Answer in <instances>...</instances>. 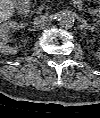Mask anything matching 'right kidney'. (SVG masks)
<instances>
[{
	"mask_svg": "<svg viewBox=\"0 0 100 118\" xmlns=\"http://www.w3.org/2000/svg\"><path fill=\"white\" fill-rule=\"evenodd\" d=\"M19 28L16 21H7L0 25V52L2 54L10 55L18 52V46H9L7 41L10 32H14Z\"/></svg>",
	"mask_w": 100,
	"mask_h": 118,
	"instance_id": "1",
	"label": "right kidney"
}]
</instances>
